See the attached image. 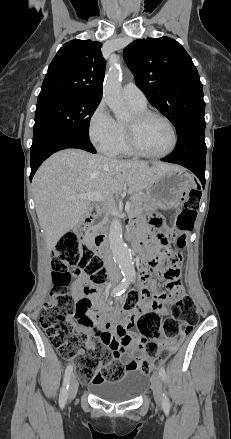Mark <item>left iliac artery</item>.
Here are the masks:
<instances>
[{
  "label": "left iliac artery",
  "mask_w": 231,
  "mask_h": 439,
  "mask_svg": "<svg viewBox=\"0 0 231 439\" xmlns=\"http://www.w3.org/2000/svg\"><path fill=\"white\" fill-rule=\"evenodd\" d=\"M132 281H134V280H132ZM159 374L162 377L163 381H165L166 380V372H165L164 368H160L159 369ZM163 407L165 409H169L170 408V401H169L167 395H165V394H163Z\"/></svg>",
  "instance_id": "obj_1"
}]
</instances>
